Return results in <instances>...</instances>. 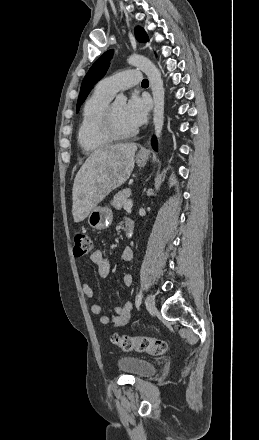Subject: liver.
Instances as JSON below:
<instances>
[{
	"label": "liver",
	"instance_id": "6515ba94",
	"mask_svg": "<svg viewBox=\"0 0 259 440\" xmlns=\"http://www.w3.org/2000/svg\"><path fill=\"white\" fill-rule=\"evenodd\" d=\"M136 151L135 143H125L98 149L90 154L74 179V222L83 221L112 190L127 181L134 168Z\"/></svg>",
	"mask_w": 259,
	"mask_h": 440
}]
</instances>
